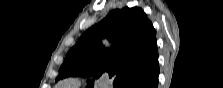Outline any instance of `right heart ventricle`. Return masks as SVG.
<instances>
[{"label": "right heart ventricle", "mask_w": 223, "mask_h": 88, "mask_svg": "<svg viewBox=\"0 0 223 88\" xmlns=\"http://www.w3.org/2000/svg\"><path fill=\"white\" fill-rule=\"evenodd\" d=\"M55 88H63L61 85H59V86H57V87H55Z\"/></svg>", "instance_id": "1"}]
</instances>
